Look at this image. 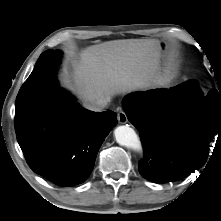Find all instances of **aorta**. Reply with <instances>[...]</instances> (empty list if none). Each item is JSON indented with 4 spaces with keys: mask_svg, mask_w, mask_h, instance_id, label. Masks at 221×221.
<instances>
[{
    "mask_svg": "<svg viewBox=\"0 0 221 221\" xmlns=\"http://www.w3.org/2000/svg\"><path fill=\"white\" fill-rule=\"evenodd\" d=\"M114 136L118 144L136 151L142 150L141 141L138 135L136 134V132L134 131V129L131 128L130 126L128 125L118 126L114 130Z\"/></svg>",
    "mask_w": 221,
    "mask_h": 221,
    "instance_id": "aorta-1",
    "label": "aorta"
}]
</instances>
